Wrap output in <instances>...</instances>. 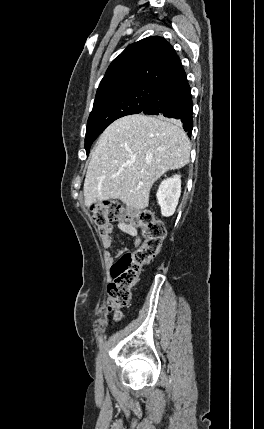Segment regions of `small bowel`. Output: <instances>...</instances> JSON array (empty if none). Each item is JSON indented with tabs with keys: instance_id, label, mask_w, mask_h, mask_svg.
<instances>
[{
	"instance_id": "c3829d8e",
	"label": "small bowel",
	"mask_w": 264,
	"mask_h": 429,
	"mask_svg": "<svg viewBox=\"0 0 264 429\" xmlns=\"http://www.w3.org/2000/svg\"><path fill=\"white\" fill-rule=\"evenodd\" d=\"M113 229H114L113 224L109 223L103 227L102 231H99L101 242L105 249H110L113 246V238L111 236ZM124 231L135 237L134 239L135 246H138L141 243V239L137 235L134 229L125 227ZM104 259L108 264H111L114 261V258L108 251L104 253Z\"/></svg>"
}]
</instances>
